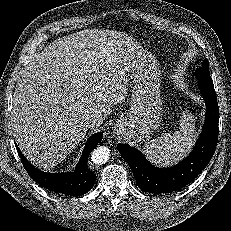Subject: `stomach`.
<instances>
[{"label": "stomach", "instance_id": "0dacf381", "mask_svg": "<svg viewBox=\"0 0 231 231\" xmlns=\"http://www.w3.org/2000/svg\"><path fill=\"white\" fill-rule=\"evenodd\" d=\"M131 108L118 121L117 131L133 143L148 142L160 126L163 102L161 70L151 53H141L131 61Z\"/></svg>", "mask_w": 231, "mask_h": 231}]
</instances>
